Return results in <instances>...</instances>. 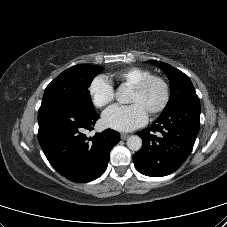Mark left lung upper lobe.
<instances>
[{
    "label": "left lung upper lobe",
    "mask_w": 227,
    "mask_h": 227,
    "mask_svg": "<svg viewBox=\"0 0 227 227\" xmlns=\"http://www.w3.org/2000/svg\"><path fill=\"white\" fill-rule=\"evenodd\" d=\"M156 64L167 75L170 81L171 93L170 99L162 111L161 115L171 112L176 107L187 102H199L195 89L186 74L173 66L160 61H149Z\"/></svg>",
    "instance_id": "5c2ea615"
}]
</instances>
